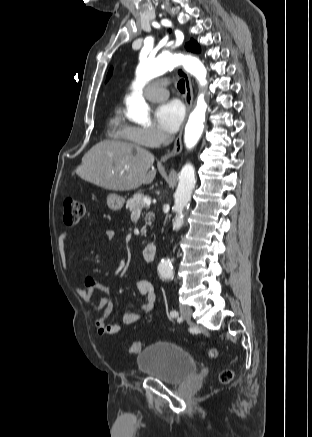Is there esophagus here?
<instances>
[{
	"label": "esophagus",
	"instance_id": "esophagus-1",
	"mask_svg": "<svg viewBox=\"0 0 312 437\" xmlns=\"http://www.w3.org/2000/svg\"><path fill=\"white\" fill-rule=\"evenodd\" d=\"M177 74L184 79L185 83L186 117L181 126L180 132L175 139L173 149L171 151H168L165 155L161 157V162H166L168 159L180 154V152L182 151V134L184 130V125L193 105V88L189 74L182 68H179L177 70Z\"/></svg>",
	"mask_w": 312,
	"mask_h": 437
}]
</instances>
